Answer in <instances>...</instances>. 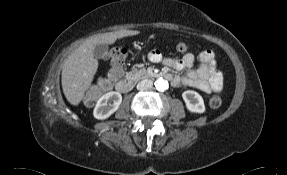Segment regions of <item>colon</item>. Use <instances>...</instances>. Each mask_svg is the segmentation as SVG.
Wrapping results in <instances>:
<instances>
[{
    "instance_id": "obj_1",
    "label": "colon",
    "mask_w": 287,
    "mask_h": 175,
    "mask_svg": "<svg viewBox=\"0 0 287 175\" xmlns=\"http://www.w3.org/2000/svg\"><path fill=\"white\" fill-rule=\"evenodd\" d=\"M179 51L181 52H187L189 50V45L186 43H182L178 46ZM212 103L214 105H219L220 103V98L218 96L212 97Z\"/></svg>"
}]
</instances>
